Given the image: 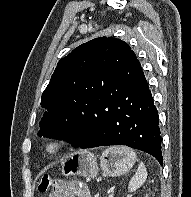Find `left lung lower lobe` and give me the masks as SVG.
Here are the masks:
<instances>
[{
	"mask_svg": "<svg viewBox=\"0 0 191 197\" xmlns=\"http://www.w3.org/2000/svg\"><path fill=\"white\" fill-rule=\"evenodd\" d=\"M67 139L76 148L126 145L154 156L162 165L158 111L142 70L127 76L82 116Z\"/></svg>",
	"mask_w": 191,
	"mask_h": 197,
	"instance_id": "1",
	"label": "left lung lower lobe"
}]
</instances>
